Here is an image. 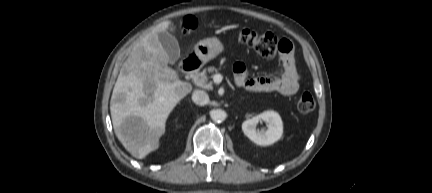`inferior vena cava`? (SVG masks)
<instances>
[{
  "instance_id": "1",
  "label": "inferior vena cava",
  "mask_w": 432,
  "mask_h": 193,
  "mask_svg": "<svg viewBox=\"0 0 432 193\" xmlns=\"http://www.w3.org/2000/svg\"><path fill=\"white\" fill-rule=\"evenodd\" d=\"M192 100L195 104L203 106L209 102V96L203 90H195L192 93Z\"/></svg>"
}]
</instances>
